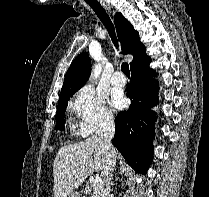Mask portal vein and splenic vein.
Returning a JSON list of instances; mask_svg holds the SVG:
<instances>
[{
  "instance_id": "portal-vein-and-splenic-vein-1",
  "label": "portal vein and splenic vein",
  "mask_w": 209,
  "mask_h": 197,
  "mask_svg": "<svg viewBox=\"0 0 209 197\" xmlns=\"http://www.w3.org/2000/svg\"><path fill=\"white\" fill-rule=\"evenodd\" d=\"M93 183L95 185H99V184L102 183V179L99 176H95L94 179H93Z\"/></svg>"
}]
</instances>
